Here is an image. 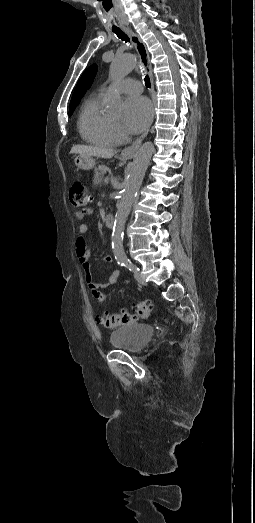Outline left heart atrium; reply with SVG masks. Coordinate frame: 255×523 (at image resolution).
Here are the masks:
<instances>
[{
  "instance_id": "left-heart-atrium-1",
  "label": "left heart atrium",
  "mask_w": 255,
  "mask_h": 523,
  "mask_svg": "<svg viewBox=\"0 0 255 523\" xmlns=\"http://www.w3.org/2000/svg\"><path fill=\"white\" fill-rule=\"evenodd\" d=\"M152 116V104L146 97L139 96L136 100L129 98L126 101L123 120L129 131L136 133L143 130Z\"/></svg>"
}]
</instances>
